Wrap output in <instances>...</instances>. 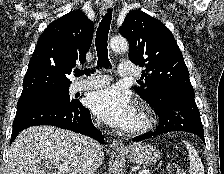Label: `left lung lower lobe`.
Returning a JSON list of instances; mask_svg holds the SVG:
<instances>
[{
	"label": "left lung lower lobe",
	"instance_id": "1",
	"mask_svg": "<svg viewBox=\"0 0 224 174\" xmlns=\"http://www.w3.org/2000/svg\"><path fill=\"white\" fill-rule=\"evenodd\" d=\"M194 97V92L177 90L160 92L156 99L149 103L159 116V125L154 132L135 137L134 141H142L172 131L190 132L204 141V130Z\"/></svg>",
	"mask_w": 224,
	"mask_h": 174
}]
</instances>
